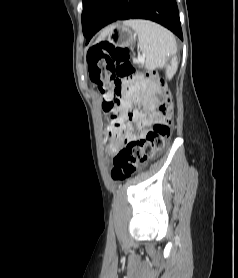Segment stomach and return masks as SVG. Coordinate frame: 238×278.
<instances>
[{
    "instance_id": "0dacf381",
    "label": "stomach",
    "mask_w": 238,
    "mask_h": 278,
    "mask_svg": "<svg viewBox=\"0 0 238 278\" xmlns=\"http://www.w3.org/2000/svg\"><path fill=\"white\" fill-rule=\"evenodd\" d=\"M107 41L118 47H129L133 44L135 33L125 24H115L105 29Z\"/></svg>"
}]
</instances>
